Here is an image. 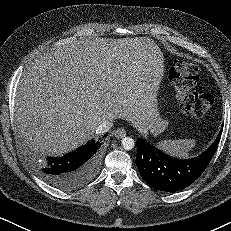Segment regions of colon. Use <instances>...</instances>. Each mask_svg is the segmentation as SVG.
I'll list each match as a JSON object with an SVG mask.
<instances>
[{"label": "colon", "mask_w": 231, "mask_h": 231, "mask_svg": "<svg viewBox=\"0 0 231 231\" xmlns=\"http://www.w3.org/2000/svg\"><path fill=\"white\" fill-rule=\"evenodd\" d=\"M198 78V66L194 62L179 60L170 69L180 109L188 115L201 116L214 104L212 95L193 91Z\"/></svg>", "instance_id": "1"}]
</instances>
